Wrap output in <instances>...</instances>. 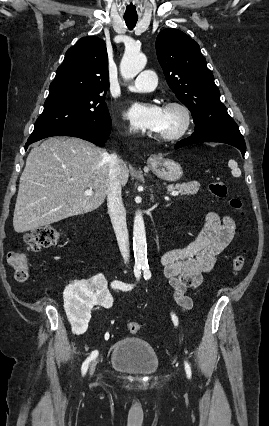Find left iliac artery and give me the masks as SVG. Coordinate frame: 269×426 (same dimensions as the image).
Here are the masks:
<instances>
[{"label":"left iliac artery","mask_w":269,"mask_h":426,"mask_svg":"<svg viewBox=\"0 0 269 426\" xmlns=\"http://www.w3.org/2000/svg\"><path fill=\"white\" fill-rule=\"evenodd\" d=\"M142 269L144 270V278L146 280L149 279L151 277V272L149 271V267H143ZM171 317H172L174 325L178 326L177 316L174 313H171ZM184 365H185V371H186L187 377L190 379L192 375L190 364L187 361H185Z\"/></svg>","instance_id":"1"}]
</instances>
